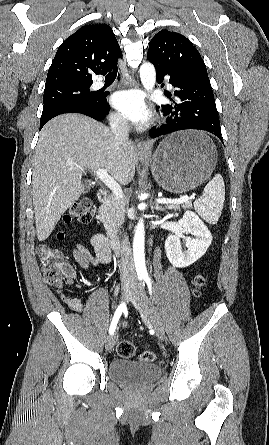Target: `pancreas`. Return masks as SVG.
Instances as JSON below:
<instances>
[{
  "label": "pancreas",
  "mask_w": 269,
  "mask_h": 445,
  "mask_svg": "<svg viewBox=\"0 0 269 445\" xmlns=\"http://www.w3.org/2000/svg\"><path fill=\"white\" fill-rule=\"evenodd\" d=\"M182 207L185 209L192 208V203L187 201L182 204ZM166 208L176 210L180 209V205L168 204L166 205ZM99 214L107 235L111 239L116 240L118 238V230L124 222L125 203L122 200L117 199L114 195H111L100 207Z\"/></svg>",
  "instance_id": "1"
}]
</instances>
